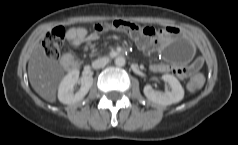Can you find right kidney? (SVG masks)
Wrapping results in <instances>:
<instances>
[{
    "label": "right kidney",
    "mask_w": 238,
    "mask_h": 145,
    "mask_svg": "<svg viewBox=\"0 0 238 145\" xmlns=\"http://www.w3.org/2000/svg\"><path fill=\"white\" fill-rule=\"evenodd\" d=\"M80 83L81 87L76 93L73 92L74 86ZM93 84V77L84 75L79 78V71H70L61 81L58 88V99L63 104H75L81 101Z\"/></svg>",
    "instance_id": "1"
}]
</instances>
